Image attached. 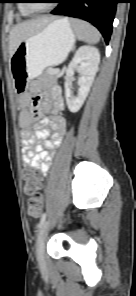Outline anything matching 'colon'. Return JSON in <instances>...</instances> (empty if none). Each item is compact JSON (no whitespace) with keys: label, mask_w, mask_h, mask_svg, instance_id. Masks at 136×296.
<instances>
[{"label":"colon","mask_w":136,"mask_h":296,"mask_svg":"<svg viewBox=\"0 0 136 296\" xmlns=\"http://www.w3.org/2000/svg\"><path fill=\"white\" fill-rule=\"evenodd\" d=\"M24 185L25 192L30 195L28 212L31 216L38 217L43 206V195L41 193L44 186L43 182L33 170L28 169L24 173Z\"/></svg>","instance_id":"obj_1"}]
</instances>
